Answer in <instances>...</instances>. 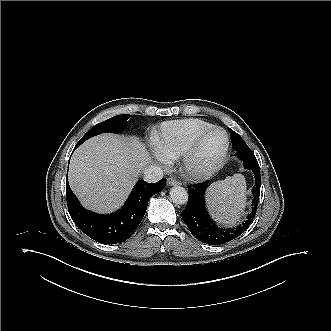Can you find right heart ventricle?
Returning <instances> with one entry per match:
<instances>
[{"label":"right heart ventricle","mask_w":331,"mask_h":331,"mask_svg":"<svg viewBox=\"0 0 331 331\" xmlns=\"http://www.w3.org/2000/svg\"><path fill=\"white\" fill-rule=\"evenodd\" d=\"M213 127L200 119H182L165 122L160 126L156 147L168 158L180 157L193 139Z\"/></svg>","instance_id":"right-heart-ventricle-1"}]
</instances>
